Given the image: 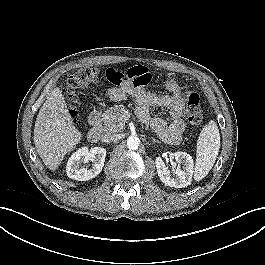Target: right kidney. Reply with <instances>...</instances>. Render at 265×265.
<instances>
[{"mask_svg": "<svg viewBox=\"0 0 265 265\" xmlns=\"http://www.w3.org/2000/svg\"><path fill=\"white\" fill-rule=\"evenodd\" d=\"M106 157V149L94 147L88 150L82 147L74 152L67 162V176L77 181H87L96 177L104 166ZM92 161V168L82 167V163Z\"/></svg>", "mask_w": 265, "mask_h": 265, "instance_id": "right-kidney-1", "label": "right kidney"}]
</instances>
